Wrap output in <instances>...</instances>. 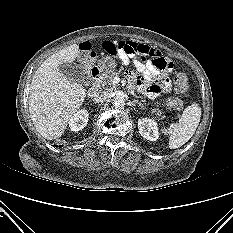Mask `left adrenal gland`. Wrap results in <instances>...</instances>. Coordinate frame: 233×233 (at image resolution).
Listing matches in <instances>:
<instances>
[{
	"mask_svg": "<svg viewBox=\"0 0 233 233\" xmlns=\"http://www.w3.org/2000/svg\"><path fill=\"white\" fill-rule=\"evenodd\" d=\"M133 102H134V103H138V101H137V100H133Z\"/></svg>",
	"mask_w": 233,
	"mask_h": 233,
	"instance_id": "obj_1",
	"label": "left adrenal gland"
}]
</instances>
